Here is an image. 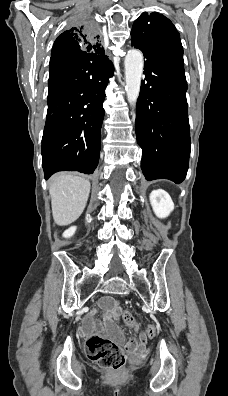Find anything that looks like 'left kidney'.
I'll list each match as a JSON object with an SVG mask.
<instances>
[{"label":"left kidney","mask_w":228,"mask_h":396,"mask_svg":"<svg viewBox=\"0 0 228 396\" xmlns=\"http://www.w3.org/2000/svg\"><path fill=\"white\" fill-rule=\"evenodd\" d=\"M149 198L153 211L159 218H166L174 210V203L164 190H153Z\"/></svg>","instance_id":"1"}]
</instances>
